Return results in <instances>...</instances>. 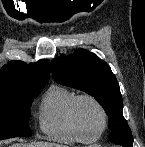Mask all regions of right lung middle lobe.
Instances as JSON below:
<instances>
[{"label": "right lung middle lobe", "instance_id": "dd1d6c3e", "mask_svg": "<svg viewBox=\"0 0 145 147\" xmlns=\"http://www.w3.org/2000/svg\"><path fill=\"white\" fill-rule=\"evenodd\" d=\"M42 87H28L0 93V140L29 137L30 107Z\"/></svg>", "mask_w": 145, "mask_h": 147}]
</instances>
